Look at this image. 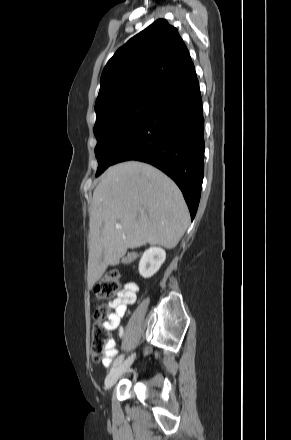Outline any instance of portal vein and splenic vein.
<instances>
[{
    "mask_svg": "<svg viewBox=\"0 0 291 440\" xmlns=\"http://www.w3.org/2000/svg\"><path fill=\"white\" fill-rule=\"evenodd\" d=\"M116 227H117V228H122V226H121V225H116Z\"/></svg>",
    "mask_w": 291,
    "mask_h": 440,
    "instance_id": "1",
    "label": "portal vein and splenic vein"
}]
</instances>
